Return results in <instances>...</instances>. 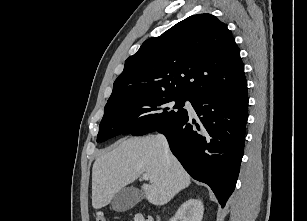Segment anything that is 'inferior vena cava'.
I'll return each instance as SVG.
<instances>
[{"instance_id": "obj_1", "label": "inferior vena cava", "mask_w": 307, "mask_h": 221, "mask_svg": "<svg viewBox=\"0 0 307 221\" xmlns=\"http://www.w3.org/2000/svg\"><path fill=\"white\" fill-rule=\"evenodd\" d=\"M157 138L164 144V146H165L167 149H169L168 142H167L166 138H165L163 135L158 134V135H157Z\"/></svg>"}]
</instances>
